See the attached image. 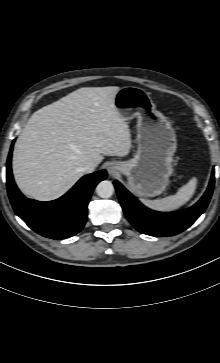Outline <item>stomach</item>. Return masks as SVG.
Returning <instances> with one entry per match:
<instances>
[{
    "mask_svg": "<svg viewBox=\"0 0 220 363\" xmlns=\"http://www.w3.org/2000/svg\"><path fill=\"white\" fill-rule=\"evenodd\" d=\"M114 105L125 121L137 118V153L129 161L114 162L113 172L128 178L130 190L140 197L160 195L173 173L177 147L174 129L155 109L149 94L134 86L120 88Z\"/></svg>",
    "mask_w": 220,
    "mask_h": 363,
    "instance_id": "0dacf381",
    "label": "stomach"
}]
</instances>
